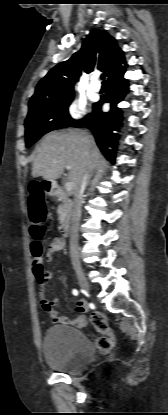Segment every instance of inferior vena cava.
Segmentation results:
<instances>
[{
  "label": "inferior vena cava",
  "mask_w": 168,
  "mask_h": 415,
  "mask_svg": "<svg viewBox=\"0 0 168 415\" xmlns=\"http://www.w3.org/2000/svg\"><path fill=\"white\" fill-rule=\"evenodd\" d=\"M89 169L86 170L78 185L74 190V199L72 202L71 211V226H70V257L74 268H80L79 261V247H78V231L79 222L81 218V200L89 179Z\"/></svg>",
  "instance_id": "602c4592"
}]
</instances>
